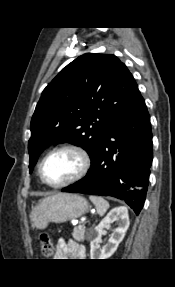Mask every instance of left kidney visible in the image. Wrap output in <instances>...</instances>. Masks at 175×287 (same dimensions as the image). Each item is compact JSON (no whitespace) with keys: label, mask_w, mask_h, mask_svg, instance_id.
<instances>
[{"label":"left kidney","mask_w":175,"mask_h":287,"mask_svg":"<svg viewBox=\"0 0 175 287\" xmlns=\"http://www.w3.org/2000/svg\"><path fill=\"white\" fill-rule=\"evenodd\" d=\"M117 221L118 227L113 231L108 243L100 247L101 235L104 228L108 227L113 221ZM128 210L124 206L112 209L105 218L95 227L94 238L90 242L91 259H108L117 250L129 227Z\"/></svg>","instance_id":"left-kidney-1"}]
</instances>
